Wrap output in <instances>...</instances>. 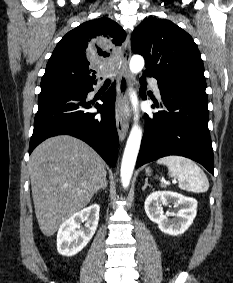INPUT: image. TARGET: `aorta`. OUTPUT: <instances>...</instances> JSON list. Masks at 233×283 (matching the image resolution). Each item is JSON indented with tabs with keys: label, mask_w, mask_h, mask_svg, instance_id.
<instances>
[{
	"label": "aorta",
	"mask_w": 233,
	"mask_h": 283,
	"mask_svg": "<svg viewBox=\"0 0 233 283\" xmlns=\"http://www.w3.org/2000/svg\"><path fill=\"white\" fill-rule=\"evenodd\" d=\"M144 63L145 62L142 56L134 55L129 64L131 73H139L143 69ZM130 100L135 110V117L134 125L132 126L127 139L120 169L121 183L124 188H127L130 184L142 139V131L138 125V98L134 91L130 93Z\"/></svg>",
	"instance_id": "1"
}]
</instances>
